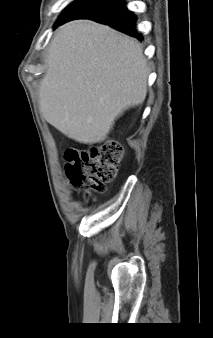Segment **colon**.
Segmentation results:
<instances>
[{
    "instance_id": "1",
    "label": "colon",
    "mask_w": 213,
    "mask_h": 338,
    "mask_svg": "<svg viewBox=\"0 0 213 338\" xmlns=\"http://www.w3.org/2000/svg\"><path fill=\"white\" fill-rule=\"evenodd\" d=\"M122 158L123 148L112 140L86 149L70 148L65 152V175L75 190L104 193L107 184L116 178Z\"/></svg>"
}]
</instances>
